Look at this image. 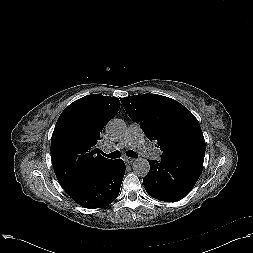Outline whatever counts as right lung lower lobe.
<instances>
[{"label":"right lung lower lobe","mask_w":253,"mask_h":253,"mask_svg":"<svg viewBox=\"0 0 253 253\" xmlns=\"http://www.w3.org/2000/svg\"><path fill=\"white\" fill-rule=\"evenodd\" d=\"M124 174L123 160H113L103 172L79 184L67 194L85 208L105 207L118 197Z\"/></svg>","instance_id":"1"}]
</instances>
